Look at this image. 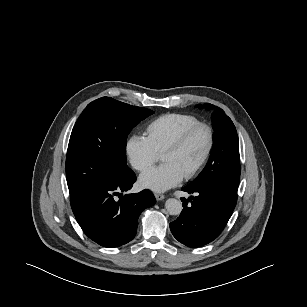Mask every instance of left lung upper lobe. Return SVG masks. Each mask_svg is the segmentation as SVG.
I'll use <instances>...</instances> for the list:
<instances>
[{"mask_svg": "<svg viewBox=\"0 0 307 307\" xmlns=\"http://www.w3.org/2000/svg\"><path fill=\"white\" fill-rule=\"evenodd\" d=\"M207 107L212 106L209 104ZM214 145L203 171L190 184H212L237 199L240 181L239 140L231 119L221 111L213 113Z\"/></svg>", "mask_w": 307, "mask_h": 307, "instance_id": "left-lung-upper-lobe-1", "label": "left lung upper lobe"}]
</instances>
